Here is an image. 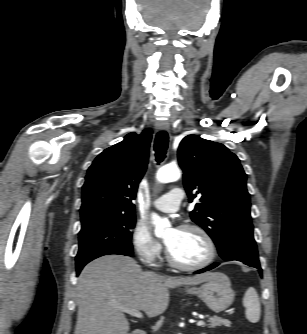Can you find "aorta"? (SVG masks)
Listing matches in <instances>:
<instances>
[{
    "instance_id": "762f6f07",
    "label": "aorta",
    "mask_w": 307,
    "mask_h": 334,
    "mask_svg": "<svg viewBox=\"0 0 307 334\" xmlns=\"http://www.w3.org/2000/svg\"><path fill=\"white\" fill-rule=\"evenodd\" d=\"M180 177L181 172L175 166H163L156 174V179L160 183L174 182ZM152 223L154 225V233L157 237L164 236L171 227V223L167 218H162L155 213L152 214Z\"/></svg>"
}]
</instances>
